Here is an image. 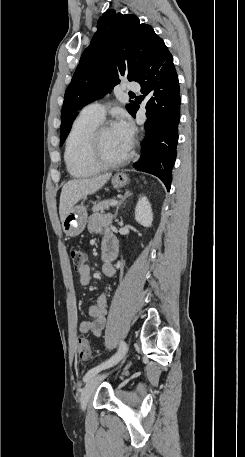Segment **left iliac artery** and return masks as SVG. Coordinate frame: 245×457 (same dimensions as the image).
I'll use <instances>...</instances> for the list:
<instances>
[{"label": "left iliac artery", "mask_w": 245, "mask_h": 457, "mask_svg": "<svg viewBox=\"0 0 245 457\" xmlns=\"http://www.w3.org/2000/svg\"><path fill=\"white\" fill-rule=\"evenodd\" d=\"M127 352V345L124 341L120 343V347L117 351L116 354H114L110 359L106 360L105 362L91 368L84 376L83 380L86 382L88 381L92 376L96 375L98 372H100L103 369L109 368L113 366L115 363H117Z\"/></svg>", "instance_id": "44dca946"}]
</instances>
